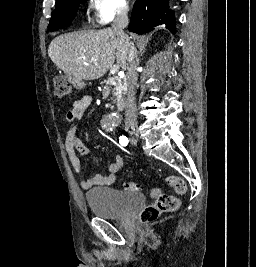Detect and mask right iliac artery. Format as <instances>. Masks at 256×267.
Masks as SVG:
<instances>
[{
	"label": "right iliac artery",
	"instance_id": "82829eb1",
	"mask_svg": "<svg viewBox=\"0 0 256 267\" xmlns=\"http://www.w3.org/2000/svg\"><path fill=\"white\" fill-rule=\"evenodd\" d=\"M129 140L127 137L125 136H121L119 138V143L122 145V146H126L128 144Z\"/></svg>",
	"mask_w": 256,
	"mask_h": 267
}]
</instances>
